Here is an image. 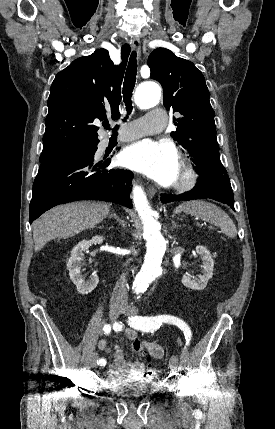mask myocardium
I'll list each match as a JSON object with an SVG mask.
<instances>
[{
  "instance_id": "myocardium-1",
  "label": "myocardium",
  "mask_w": 275,
  "mask_h": 429,
  "mask_svg": "<svg viewBox=\"0 0 275 429\" xmlns=\"http://www.w3.org/2000/svg\"><path fill=\"white\" fill-rule=\"evenodd\" d=\"M199 174L196 167L186 158H181L179 174L174 182L175 190L184 192L192 189L198 182Z\"/></svg>"
}]
</instances>
